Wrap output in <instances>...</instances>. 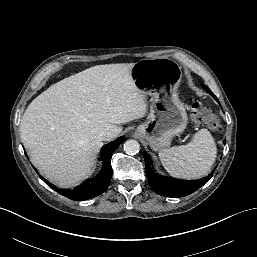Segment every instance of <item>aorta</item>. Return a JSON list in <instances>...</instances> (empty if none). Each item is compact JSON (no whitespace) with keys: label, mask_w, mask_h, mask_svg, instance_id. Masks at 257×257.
Segmentation results:
<instances>
[{"label":"aorta","mask_w":257,"mask_h":257,"mask_svg":"<svg viewBox=\"0 0 257 257\" xmlns=\"http://www.w3.org/2000/svg\"><path fill=\"white\" fill-rule=\"evenodd\" d=\"M140 150V145L136 140H127L124 143V151L128 155H135L139 152Z\"/></svg>","instance_id":"1"}]
</instances>
